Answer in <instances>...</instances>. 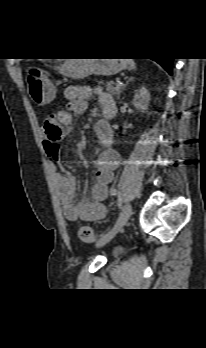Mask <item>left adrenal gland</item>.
Returning <instances> with one entry per match:
<instances>
[{
  "label": "left adrenal gland",
  "instance_id": "obj_1",
  "mask_svg": "<svg viewBox=\"0 0 206 348\" xmlns=\"http://www.w3.org/2000/svg\"><path fill=\"white\" fill-rule=\"evenodd\" d=\"M133 79H134L133 77L128 78V80L126 81V83L121 87L120 93L123 91V89L125 88V86H126L130 81H132ZM120 93H119V95H118V98H119V96H120Z\"/></svg>",
  "mask_w": 206,
  "mask_h": 348
}]
</instances>
